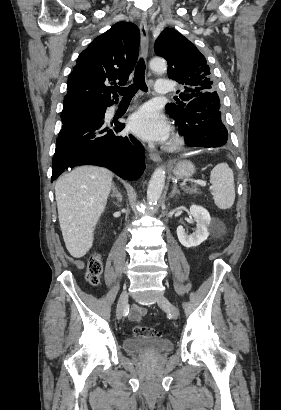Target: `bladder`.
Listing matches in <instances>:
<instances>
[{
  "label": "bladder",
  "instance_id": "obj_1",
  "mask_svg": "<svg viewBox=\"0 0 281 410\" xmlns=\"http://www.w3.org/2000/svg\"><path fill=\"white\" fill-rule=\"evenodd\" d=\"M123 348L130 354L156 357L170 352L173 344L166 339L127 338L123 342Z\"/></svg>",
  "mask_w": 281,
  "mask_h": 410
}]
</instances>
